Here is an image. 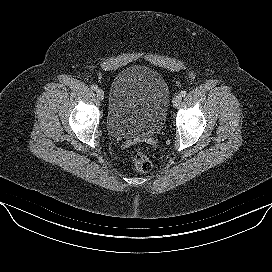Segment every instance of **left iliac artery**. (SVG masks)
Masks as SVG:
<instances>
[{
    "instance_id": "1",
    "label": "left iliac artery",
    "mask_w": 272,
    "mask_h": 272,
    "mask_svg": "<svg viewBox=\"0 0 272 272\" xmlns=\"http://www.w3.org/2000/svg\"><path fill=\"white\" fill-rule=\"evenodd\" d=\"M186 94H187V92H186L185 90H184V91H181V93H180V95H181L182 97H185Z\"/></svg>"
}]
</instances>
